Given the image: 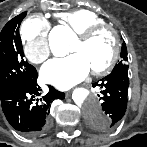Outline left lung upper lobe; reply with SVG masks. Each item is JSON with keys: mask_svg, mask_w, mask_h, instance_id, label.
I'll return each mask as SVG.
<instances>
[{"mask_svg": "<svg viewBox=\"0 0 147 147\" xmlns=\"http://www.w3.org/2000/svg\"><path fill=\"white\" fill-rule=\"evenodd\" d=\"M128 57H127V48L125 46V43H123L122 51H121V60L119 63L114 67L113 71H116L123 67H128L127 65ZM112 71V72H113Z\"/></svg>", "mask_w": 147, "mask_h": 147, "instance_id": "1", "label": "left lung upper lobe"}]
</instances>
